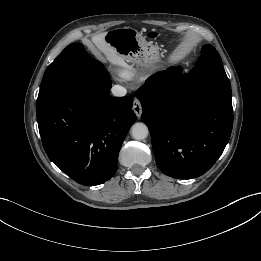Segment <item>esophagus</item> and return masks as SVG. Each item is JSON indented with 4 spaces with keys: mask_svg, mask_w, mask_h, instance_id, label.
Instances as JSON below:
<instances>
[{
    "mask_svg": "<svg viewBox=\"0 0 261 261\" xmlns=\"http://www.w3.org/2000/svg\"><path fill=\"white\" fill-rule=\"evenodd\" d=\"M133 111L136 114L137 118L141 117L142 114V106L138 99H134L133 101Z\"/></svg>",
    "mask_w": 261,
    "mask_h": 261,
    "instance_id": "34e87169",
    "label": "esophagus"
}]
</instances>
